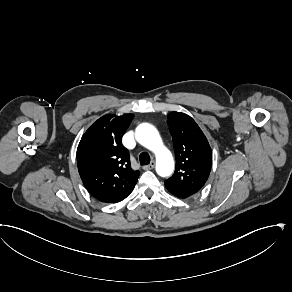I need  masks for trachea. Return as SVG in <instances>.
<instances>
[{"instance_id": "trachea-1", "label": "trachea", "mask_w": 292, "mask_h": 292, "mask_svg": "<svg viewBox=\"0 0 292 292\" xmlns=\"http://www.w3.org/2000/svg\"><path fill=\"white\" fill-rule=\"evenodd\" d=\"M139 161L141 165H148L150 163V156L147 152H142L139 155Z\"/></svg>"}]
</instances>
